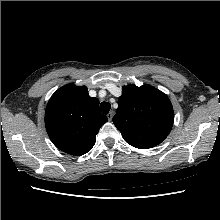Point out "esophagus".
Wrapping results in <instances>:
<instances>
[{"mask_svg":"<svg viewBox=\"0 0 220 220\" xmlns=\"http://www.w3.org/2000/svg\"><path fill=\"white\" fill-rule=\"evenodd\" d=\"M113 115H114V112H113V111H110V112L107 114V118H108L109 121L112 120Z\"/></svg>","mask_w":220,"mask_h":220,"instance_id":"obj_1","label":"esophagus"}]
</instances>
